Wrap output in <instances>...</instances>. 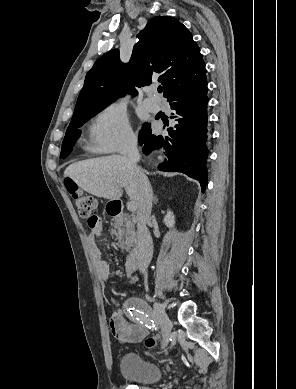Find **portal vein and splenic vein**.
<instances>
[{"instance_id":"obj_1","label":"portal vein and splenic vein","mask_w":296,"mask_h":389,"mask_svg":"<svg viewBox=\"0 0 296 389\" xmlns=\"http://www.w3.org/2000/svg\"><path fill=\"white\" fill-rule=\"evenodd\" d=\"M127 209H128L129 211H135V210L137 209V204H136V202H134V201L128 202V204H127Z\"/></svg>"}]
</instances>
